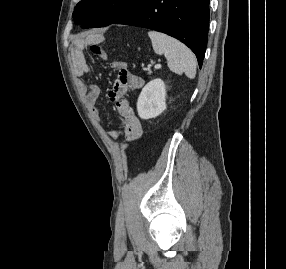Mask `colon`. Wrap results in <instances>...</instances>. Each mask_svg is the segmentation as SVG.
<instances>
[{
  "label": "colon",
  "instance_id": "1",
  "mask_svg": "<svg viewBox=\"0 0 286 269\" xmlns=\"http://www.w3.org/2000/svg\"><path fill=\"white\" fill-rule=\"evenodd\" d=\"M95 50L101 51L102 48L94 43L91 45ZM130 61H117L115 70H117V80L115 82V88H119L120 92L124 91H138V88H142L144 78H135L129 70ZM131 110H136V105H131Z\"/></svg>",
  "mask_w": 286,
  "mask_h": 269
}]
</instances>
